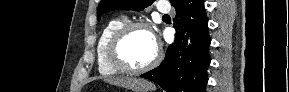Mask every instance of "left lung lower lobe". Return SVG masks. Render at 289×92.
<instances>
[{
	"label": "left lung lower lobe",
	"mask_w": 289,
	"mask_h": 92,
	"mask_svg": "<svg viewBox=\"0 0 289 92\" xmlns=\"http://www.w3.org/2000/svg\"><path fill=\"white\" fill-rule=\"evenodd\" d=\"M172 5L180 27L175 42L168 47L164 61L140 77L167 92H206L211 39L204 0H174Z\"/></svg>",
	"instance_id": "obj_1"
}]
</instances>
